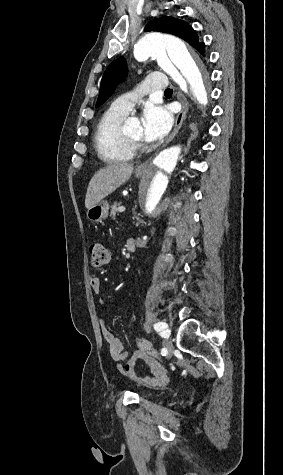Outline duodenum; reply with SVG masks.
Masks as SVG:
<instances>
[{
	"label": "duodenum",
	"instance_id": "obj_1",
	"mask_svg": "<svg viewBox=\"0 0 283 475\" xmlns=\"http://www.w3.org/2000/svg\"><path fill=\"white\" fill-rule=\"evenodd\" d=\"M137 244L134 238H130L126 242V248L129 252H134L136 250Z\"/></svg>",
	"mask_w": 283,
	"mask_h": 475
}]
</instances>
